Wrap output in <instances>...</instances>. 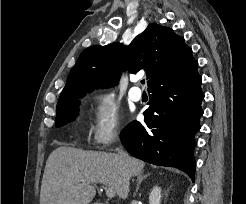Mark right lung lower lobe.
<instances>
[{"instance_id":"1","label":"right lung lower lobe","mask_w":246,"mask_h":204,"mask_svg":"<svg viewBox=\"0 0 246 204\" xmlns=\"http://www.w3.org/2000/svg\"><path fill=\"white\" fill-rule=\"evenodd\" d=\"M198 63L172 71L148 86L150 107L144 122H131L121 133L126 150L146 162L176 167L194 180L195 133L203 114Z\"/></svg>"}]
</instances>
